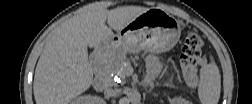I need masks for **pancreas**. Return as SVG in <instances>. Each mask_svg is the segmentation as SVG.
<instances>
[{
  "instance_id": "cf45deb5",
  "label": "pancreas",
  "mask_w": 252,
  "mask_h": 104,
  "mask_svg": "<svg viewBox=\"0 0 252 104\" xmlns=\"http://www.w3.org/2000/svg\"><path fill=\"white\" fill-rule=\"evenodd\" d=\"M115 68V65L113 62H109L105 67H104V72L105 73H110L113 69ZM123 74V73H122ZM124 75V74H123Z\"/></svg>"
}]
</instances>
